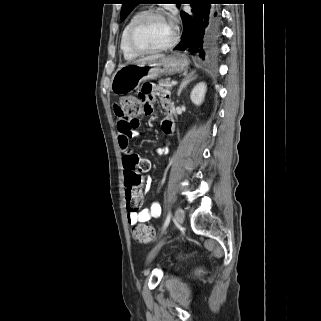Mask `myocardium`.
I'll use <instances>...</instances> for the list:
<instances>
[{"label": "myocardium", "instance_id": "1", "mask_svg": "<svg viewBox=\"0 0 321 321\" xmlns=\"http://www.w3.org/2000/svg\"><path fill=\"white\" fill-rule=\"evenodd\" d=\"M155 16L163 17V18L167 19V16L163 11H160V10H148V11L143 12L134 21V23L130 27L129 32H128V36H127V43H128L129 48L133 52H135V53H137L139 55L160 53V52H164V51H167V50L171 49L178 42V39H179L178 30L174 25H172L173 26V36H172L171 40L167 44H165L163 46H160V47H157V48H151V49L142 48V47H139L136 44V42H135V34H136L138 28L140 27V25L144 21H146L148 18L155 17Z\"/></svg>", "mask_w": 321, "mask_h": 321}]
</instances>
